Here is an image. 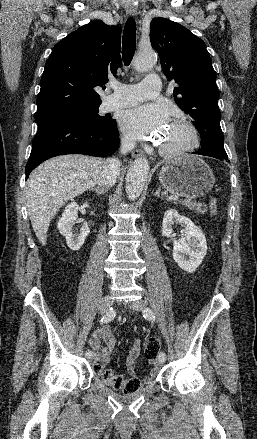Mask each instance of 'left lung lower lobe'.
Returning a JSON list of instances; mask_svg holds the SVG:
<instances>
[{
  "mask_svg": "<svg viewBox=\"0 0 257 439\" xmlns=\"http://www.w3.org/2000/svg\"><path fill=\"white\" fill-rule=\"evenodd\" d=\"M195 154H200V155H204V156H210V157H213V158H217L219 160H226V161H228V156L227 155H215V156H212V155L204 154V153H201V152H195Z\"/></svg>",
  "mask_w": 257,
  "mask_h": 439,
  "instance_id": "0a47b994",
  "label": "left lung lower lobe"
}]
</instances>
